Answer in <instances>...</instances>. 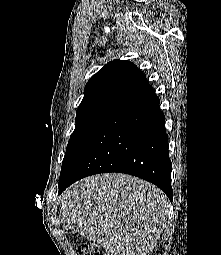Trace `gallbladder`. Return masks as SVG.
I'll list each match as a JSON object with an SVG mask.
<instances>
[{
    "label": "gallbladder",
    "mask_w": 221,
    "mask_h": 255,
    "mask_svg": "<svg viewBox=\"0 0 221 255\" xmlns=\"http://www.w3.org/2000/svg\"><path fill=\"white\" fill-rule=\"evenodd\" d=\"M71 231H72V233H75V228H72Z\"/></svg>",
    "instance_id": "1"
}]
</instances>
